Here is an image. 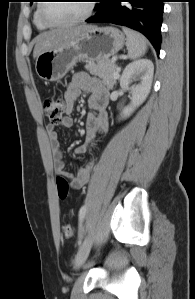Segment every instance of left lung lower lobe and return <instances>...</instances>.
<instances>
[{
	"label": "left lung lower lobe",
	"mask_w": 195,
	"mask_h": 299,
	"mask_svg": "<svg viewBox=\"0 0 195 299\" xmlns=\"http://www.w3.org/2000/svg\"><path fill=\"white\" fill-rule=\"evenodd\" d=\"M97 13L88 23L105 22L129 27L144 34L160 51L164 0H99Z\"/></svg>",
	"instance_id": "1"
}]
</instances>
